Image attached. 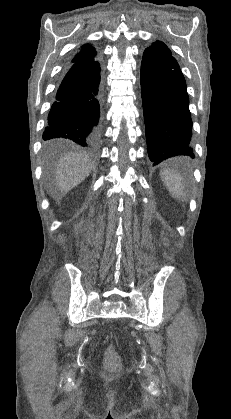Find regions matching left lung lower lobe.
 Segmentation results:
<instances>
[{"label": "left lung lower lobe", "instance_id": "0a47b994", "mask_svg": "<svg viewBox=\"0 0 231 419\" xmlns=\"http://www.w3.org/2000/svg\"><path fill=\"white\" fill-rule=\"evenodd\" d=\"M141 93L148 155L153 165L178 156L194 157L186 82L171 55L144 51Z\"/></svg>", "mask_w": 231, "mask_h": 419}]
</instances>
